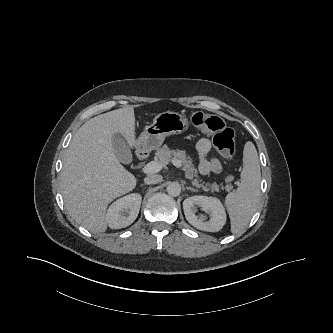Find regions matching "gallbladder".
Here are the masks:
<instances>
[{
	"label": "gallbladder",
	"mask_w": 333,
	"mask_h": 333,
	"mask_svg": "<svg viewBox=\"0 0 333 333\" xmlns=\"http://www.w3.org/2000/svg\"><path fill=\"white\" fill-rule=\"evenodd\" d=\"M113 148L116 157L122 163L129 164L132 162V153L130 148L124 137L119 133L113 136Z\"/></svg>",
	"instance_id": "obj_1"
}]
</instances>
